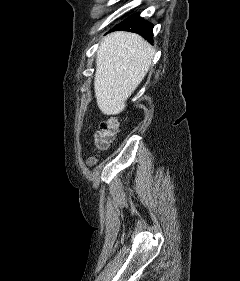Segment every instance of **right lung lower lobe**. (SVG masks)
Returning <instances> with one entry per match:
<instances>
[{
	"mask_svg": "<svg viewBox=\"0 0 240 281\" xmlns=\"http://www.w3.org/2000/svg\"><path fill=\"white\" fill-rule=\"evenodd\" d=\"M113 30H125L135 32L143 36L147 41L153 42V25L144 21L139 13L129 16Z\"/></svg>",
	"mask_w": 240,
	"mask_h": 281,
	"instance_id": "obj_1",
	"label": "right lung lower lobe"
}]
</instances>
